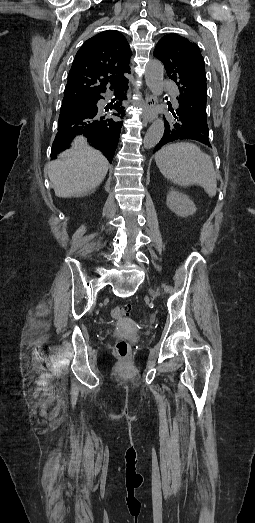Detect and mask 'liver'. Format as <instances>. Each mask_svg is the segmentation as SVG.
I'll use <instances>...</instances> for the list:
<instances>
[{
  "instance_id": "obj_1",
  "label": "liver",
  "mask_w": 255,
  "mask_h": 523,
  "mask_svg": "<svg viewBox=\"0 0 255 523\" xmlns=\"http://www.w3.org/2000/svg\"><path fill=\"white\" fill-rule=\"evenodd\" d=\"M70 150L57 156V160L46 166L47 174L58 198H78L100 186L109 162L99 150L88 146V142L76 138Z\"/></svg>"
}]
</instances>
